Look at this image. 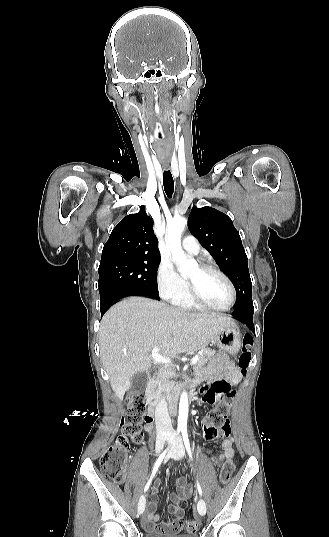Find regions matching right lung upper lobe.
<instances>
[{"label":"right lung upper lobe","instance_id":"right-lung-upper-lobe-1","mask_svg":"<svg viewBox=\"0 0 329 537\" xmlns=\"http://www.w3.org/2000/svg\"><path fill=\"white\" fill-rule=\"evenodd\" d=\"M153 220L140 206L137 214L127 215L113 229L103 247L100 265L120 261H150L160 258Z\"/></svg>","mask_w":329,"mask_h":537}]
</instances>
